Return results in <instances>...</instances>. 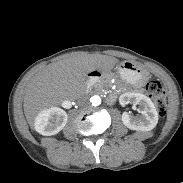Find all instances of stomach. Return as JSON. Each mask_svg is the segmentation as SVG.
Masks as SVG:
<instances>
[{
	"mask_svg": "<svg viewBox=\"0 0 183 183\" xmlns=\"http://www.w3.org/2000/svg\"><path fill=\"white\" fill-rule=\"evenodd\" d=\"M121 78L132 87H141L148 80V72L130 61H124L118 65Z\"/></svg>",
	"mask_w": 183,
	"mask_h": 183,
	"instance_id": "0dacf381",
	"label": "stomach"
}]
</instances>
